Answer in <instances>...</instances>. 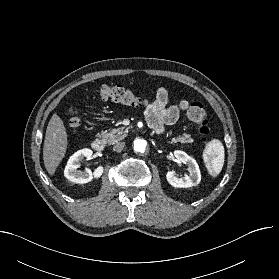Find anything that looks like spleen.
I'll use <instances>...</instances> for the list:
<instances>
[{"label": "spleen", "instance_id": "spleen-1", "mask_svg": "<svg viewBox=\"0 0 279 279\" xmlns=\"http://www.w3.org/2000/svg\"><path fill=\"white\" fill-rule=\"evenodd\" d=\"M207 160V168L209 174L216 177L222 170L224 165V147L221 141L214 139L206 147L205 150Z\"/></svg>", "mask_w": 279, "mask_h": 279}]
</instances>
